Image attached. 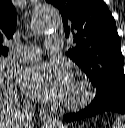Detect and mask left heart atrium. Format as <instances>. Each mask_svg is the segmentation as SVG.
<instances>
[{"instance_id": "39dd6f15", "label": "left heart atrium", "mask_w": 125, "mask_h": 128, "mask_svg": "<svg viewBox=\"0 0 125 128\" xmlns=\"http://www.w3.org/2000/svg\"><path fill=\"white\" fill-rule=\"evenodd\" d=\"M22 90L41 102H55L69 96L73 84L69 68L59 62H43L24 68L19 75Z\"/></svg>"}]
</instances>
